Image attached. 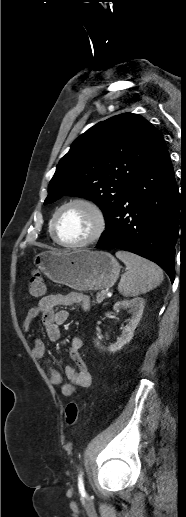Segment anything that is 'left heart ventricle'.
<instances>
[{
  "label": "left heart ventricle",
  "instance_id": "b2bd125f",
  "mask_svg": "<svg viewBox=\"0 0 186 517\" xmlns=\"http://www.w3.org/2000/svg\"><path fill=\"white\" fill-rule=\"evenodd\" d=\"M93 228V215L88 209L79 205L64 209L57 220L58 236L68 243L84 240L91 234Z\"/></svg>",
  "mask_w": 186,
  "mask_h": 517
}]
</instances>
